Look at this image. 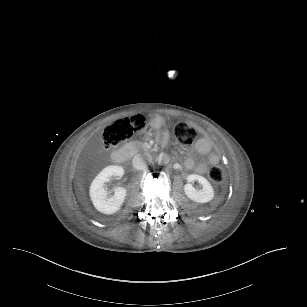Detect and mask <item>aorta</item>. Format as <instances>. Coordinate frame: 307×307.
Here are the masks:
<instances>
[{
	"instance_id": "1",
	"label": "aorta",
	"mask_w": 307,
	"mask_h": 307,
	"mask_svg": "<svg viewBox=\"0 0 307 307\" xmlns=\"http://www.w3.org/2000/svg\"><path fill=\"white\" fill-rule=\"evenodd\" d=\"M157 160L160 164H167L169 162V158L164 153H161Z\"/></svg>"
}]
</instances>
